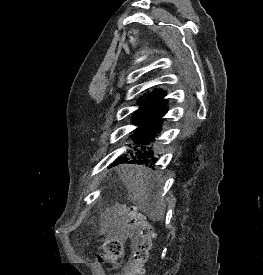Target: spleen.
Masks as SVG:
<instances>
[{"mask_svg":"<svg viewBox=\"0 0 263 275\" xmlns=\"http://www.w3.org/2000/svg\"><path fill=\"white\" fill-rule=\"evenodd\" d=\"M124 182L136 201L147 210L151 218L156 220L163 218L165 207L159 195L152 193L157 185L151 172L139 166H125ZM153 208L155 211H152Z\"/></svg>","mask_w":263,"mask_h":275,"instance_id":"3e777b00","label":"spleen"}]
</instances>
